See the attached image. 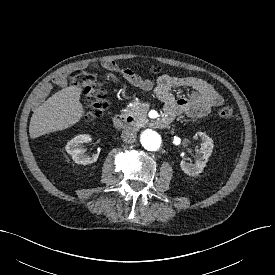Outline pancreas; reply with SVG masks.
I'll return each mask as SVG.
<instances>
[{
	"mask_svg": "<svg viewBox=\"0 0 275 275\" xmlns=\"http://www.w3.org/2000/svg\"><path fill=\"white\" fill-rule=\"evenodd\" d=\"M149 110V105L143 104L141 102H135L132 106L126 108L124 112L125 116H130L135 119L138 125H145L147 120V112Z\"/></svg>",
	"mask_w": 275,
	"mask_h": 275,
	"instance_id": "1",
	"label": "pancreas"
}]
</instances>
